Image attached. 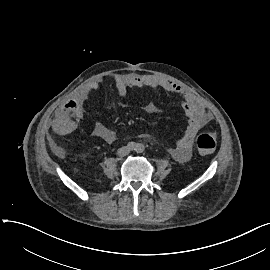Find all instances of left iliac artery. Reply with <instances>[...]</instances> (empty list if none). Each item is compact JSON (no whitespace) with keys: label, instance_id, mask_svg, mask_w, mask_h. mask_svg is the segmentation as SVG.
I'll use <instances>...</instances> for the list:
<instances>
[{"label":"left iliac artery","instance_id":"left-iliac-artery-1","mask_svg":"<svg viewBox=\"0 0 270 270\" xmlns=\"http://www.w3.org/2000/svg\"><path fill=\"white\" fill-rule=\"evenodd\" d=\"M136 150H137L138 153H141V152L144 151V146L143 145H138Z\"/></svg>","mask_w":270,"mask_h":270}]
</instances>
